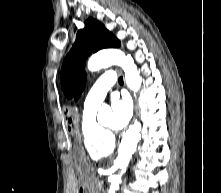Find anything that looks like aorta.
<instances>
[{"label":"aorta","instance_id":"762f6f07","mask_svg":"<svg viewBox=\"0 0 221 193\" xmlns=\"http://www.w3.org/2000/svg\"><path fill=\"white\" fill-rule=\"evenodd\" d=\"M118 65L125 71L127 86L134 92H137L142 84V78L139 75L137 66L133 59L118 49H109L98 52L88 60V70L98 71L102 68ZM108 107H102L99 110L98 117L109 112ZM141 124L135 122L123 135L118 149V156L114 162L115 166L121 170L120 174L111 177V184L108 193H115L121 182V177L126 171L129 161L136 151L137 144L141 138Z\"/></svg>","mask_w":221,"mask_h":193}]
</instances>
